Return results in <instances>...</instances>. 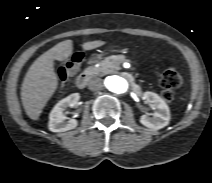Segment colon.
Returning <instances> with one entry per match:
<instances>
[{
    "mask_svg": "<svg viewBox=\"0 0 212 183\" xmlns=\"http://www.w3.org/2000/svg\"><path fill=\"white\" fill-rule=\"evenodd\" d=\"M82 62V54L75 53L71 59L60 65L57 74L60 88L77 73ZM183 84V77L174 68L166 69L160 78V86L162 87V97L166 101H171L174 98V90L181 87Z\"/></svg>",
    "mask_w": 212,
    "mask_h": 183,
    "instance_id": "5ec220e1",
    "label": "colon"
}]
</instances>
